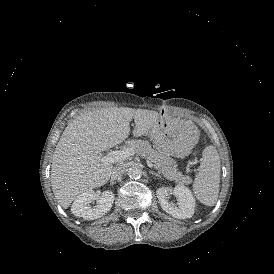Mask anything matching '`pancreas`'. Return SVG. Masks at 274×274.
Wrapping results in <instances>:
<instances>
[{
    "label": "pancreas",
    "mask_w": 274,
    "mask_h": 274,
    "mask_svg": "<svg viewBox=\"0 0 274 274\" xmlns=\"http://www.w3.org/2000/svg\"><path fill=\"white\" fill-rule=\"evenodd\" d=\"M126 148H133L137 155L152 162L154 168L157 169L159 173H162L167 179L186 185L192 182V179L189 176H185L177 171L176 162L172 158L152 148L148 141L130 140L126 145Z\"/></svg>",
    "instance_id": "obj_1"
}]
</instances>
